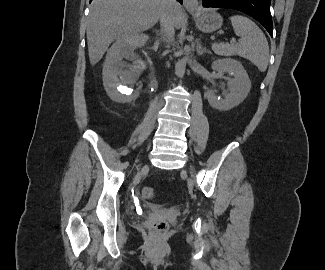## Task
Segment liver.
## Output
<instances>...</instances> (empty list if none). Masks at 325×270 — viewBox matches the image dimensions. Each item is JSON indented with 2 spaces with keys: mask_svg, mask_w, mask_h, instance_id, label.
Segmentation results:
<instances>
[{
  "mask_svg": "<svg viewBox=\"0 0 325 270\" xmlns=\"http://www.w3.org/2000/svg\"><path fill=\"white\" fill-rule=\"evenodd\" d=\"M163 0H93L87 24V42L91 65L97 64L109 45L133 41L139 33L153 27L163 8ZM174 25L185 23L183 8L175 3L170 8Z\"/></svg>",
  "mask_w": 325,
  "mask_h": 270,
  "instance_id": "1",
  "label": "liver"
}]
</instances>
